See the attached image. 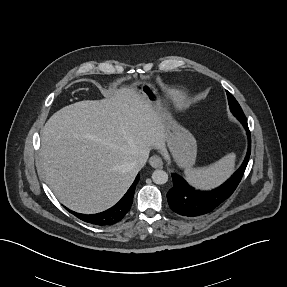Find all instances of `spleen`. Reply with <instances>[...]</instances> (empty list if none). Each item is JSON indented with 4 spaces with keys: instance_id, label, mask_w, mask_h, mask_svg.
I'll return each mask as SVG.
<instances>
[{
    "instance_id": "obj_1",
    "label": "spleen",
    "mask_w": 287,
    "mask_h": 287,
    "mask_svg": "<svg viewBox=\"0 0 287 287\" xmlns=\"http://www.w3.org/2000/svg\"><path fill=\"white\" fill-rule=\"evenodd\" d=\"M236 155L230 153L213 164L199 168H187V181L202 189H209L222 184L234 171Z\"/></svg>"
}]
</instances>
